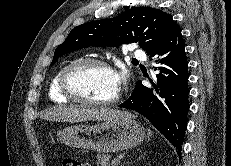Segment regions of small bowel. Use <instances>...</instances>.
<instances>
[{
    "label": "small bowel",
    "instance_id": "small-bowel-1",
    "mask_svg": "<svg viewBox=\"0 0 231 166\" xmlns=\"http://www.w3.org/2000/svg\"><path fill=\"white\" fill-rule=\"evenodd\" d=\"M84 166H90V165L84 164Z\"/></svg>",
    "mask_w": 231,
    "mask_h": 166
}]
</instances>
